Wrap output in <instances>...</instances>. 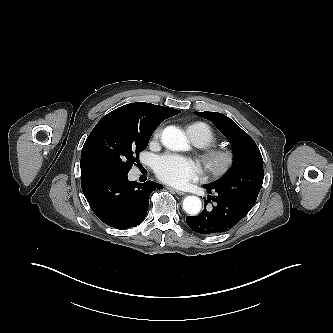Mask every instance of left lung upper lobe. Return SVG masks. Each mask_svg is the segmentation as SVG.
Here are the masks:
<instances>
[{
  "mask_svg": "<svg viewBox=\"0 0 333 333\" xmlns=\"http://www.w3.org/2000/svg\"><path fill=\"white\" fill-rule=\"evenodd\" d=\"M206 118L231 142L235 150V167L223 178L207 184L233 196L255 203L263 183V159L254 140L227 116L217 112H195Z\"/></svg>",
  "mask_w": 333,
  "mask_h": 333,
  "instance_id": "5c2ea615",
  "label": "left lung upper lobe"
}]
</instances>
